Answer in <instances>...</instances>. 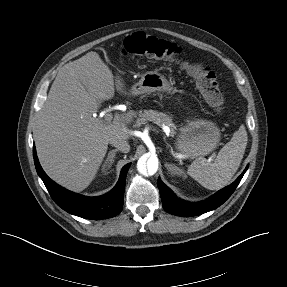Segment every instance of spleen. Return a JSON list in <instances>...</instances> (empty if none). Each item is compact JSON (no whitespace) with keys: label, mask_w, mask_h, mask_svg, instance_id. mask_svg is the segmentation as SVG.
Listing matches in <instances>:
<instances>
[{"label":"spleen","mask_w":287,"mask_h":287,"mask_svg":"<svg viewBox=\"0 0 287 287\" xmlns=\"http://www.w3.org/2000/svg\"><path fill=\"white\" fill-rule=\"evenodd\" d=\"M247 141V131L245 126L241 125L219 151L214 162L199 157L192 162L187 173L209 190H219L227 186L241 164Z\"/></svg>","instance_id":"1"}]
</instances>
